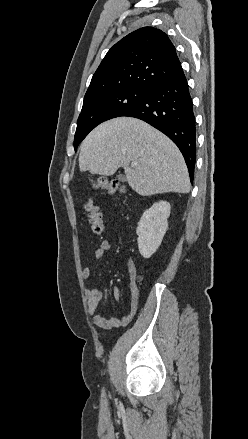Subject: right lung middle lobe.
<instances>
[{
	"mask_svg": "<svg viewBox=\"0 0 248 439\" xmlns=\"http://www.w3.org/2000/svg\"><path fill=\"white\" fill-rule=\"evenodd\" d=\"M147 91L140 89H121L96 97L83 103L77 121L74 149L87 134L100 123L119 117L139 102Z\"/></svg>",
	"mask_w": 248,
	"mask_h": 439,
	"instance_id": "1",
	"label": "right lung middle lobe"
}]
</instances>
